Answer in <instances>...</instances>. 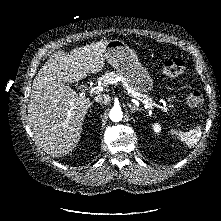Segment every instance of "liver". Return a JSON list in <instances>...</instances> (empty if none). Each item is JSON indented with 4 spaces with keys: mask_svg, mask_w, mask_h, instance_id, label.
Here are the masks:
<instances>
[{
    "mask_svg": "<svg viewBox=\"0 0 221 221\" xmlns=\"http://www.w3.org/2000/svg\"><path fill=\"white\" fill-rule=\"evenodd\" d=\"M106 40L50 56L33 80L28 120L36 142L52 157H62L78 144L90 99L78 95L66 83L101 72Z\"/></svg>",
    "mask_w": 221,
    "mask_h": 221,
    "instance_id": "liver-1",
    "label": "liver"
}]
</instances>
